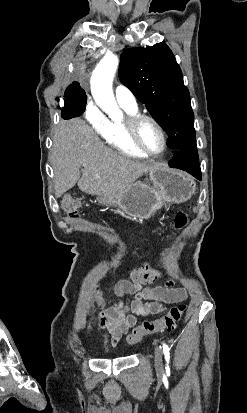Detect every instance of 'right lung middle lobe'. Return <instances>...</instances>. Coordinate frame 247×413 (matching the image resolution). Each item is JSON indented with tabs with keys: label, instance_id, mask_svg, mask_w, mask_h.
<instances>
[{
	"label": "right lung middle lobe",
	"instance_id": "1",
	"mask_svg": "<svg viewBox=\"0 0 247 413\" xmlns=\"http://www.w3.org/2000/svg\"><path fill=\"white\" fill-rule=\"evenodd\" d=\"M64 98L66 109L74 112L77 117L83 114L86 108L87 96L78 82H73L67 87Z\"/></svg>",
	"mask_w": 247,
	"mask_h": 413
}]
</instances>
